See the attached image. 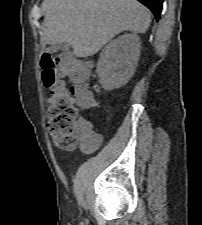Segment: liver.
Here are the masks:
<instances>
[{
    "label": "liver",
    "mask_w": 202,
    "mask_h": 225,
    "mask_svg": "<svg viewBox=\"0 0 202 225\" xmlns=\"http://www.w3.org/2000/svg\"><path fill=\"white\" fill-rule=\"evenodd\" d=\"M46 44L68 43L76 57L96 54L123 31L145 33L149 10L137 0H44Z\"/></svg>",
    "instance_id": "obj_1"
}]
</instances>
